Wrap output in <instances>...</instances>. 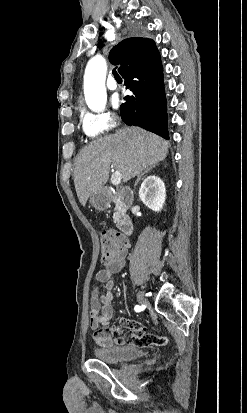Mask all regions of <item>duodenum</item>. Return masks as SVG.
<instances>
[{
    "label": "duodenum",
    "mask_w": 247,
    "mask_h": 413,
    "mask_svg": "<svg viewBox=\"0 0 247 413\" xmlns=\"http://www.w3.org/2000/svg\"><path fill=\"white\" fill-rule=\"evenodd\" d=\"M110 195L116 199V207L118 212V228L125 235L133 233L132 220L124 215V212L133 204V192L129 187L123 186L118 189H111Z\"/></svg>",
    "instance_id": "obj_1"
}]
</instances>
